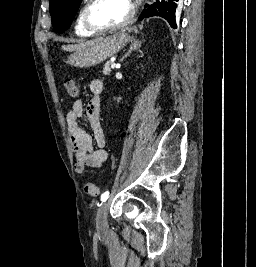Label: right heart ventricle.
<instances>
[{
  "label": "right heart ventricle",
  "instance_id": "1",
  "mask_svg": "<svg viewBox=\"0 0 256 267\" xmlns=\"http://www.w3.org/2000/svg\"><path fill=\"white\" fill-rule=\"evenodd\" d=\"M83 14L84 12H80V14L76 18V21L74 23V33L76 34V36H97V33H94L85 27L83 23Z\"/></svg>",
  "mask_w": 256,
  "mask_h": 267
}]
</instances>
